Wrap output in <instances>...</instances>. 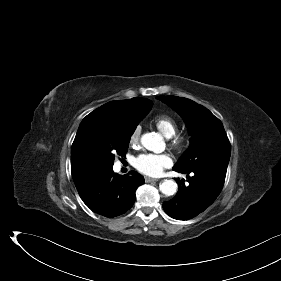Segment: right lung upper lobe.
<instances>
[{"instance_id":"right-lung-upper-lobe-1","label":"right lung upper lobe","mask_w":281,"mask_h":281,"mask_svg":"<svg viewBox=\"0 0 281 281\" xmlns=\"http://www.w3.org/2000/svg\"><path fill=\"white\" fill-rule=\"evenodd\" d=\"M151 108V100L135 97L108 102L88 114L82 120L72 144L71 172L73 179L94 170L86 153L91 140L97 138L101 131L126 128L139 123Z\"/></svg>"}]
</instances>
